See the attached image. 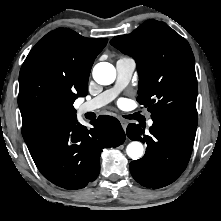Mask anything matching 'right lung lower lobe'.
<instances>
[{
	"mask_svg": "<svg viewBox=\"0 0 221 221\" xmlns=\"http://www.w3.org/2000/svg\"><path fill=\"white\" fill-rule=\"evenodd\" d=\"M90 123L87 129L76 115L53 118L24 137L37 168L53 184L70 190L85 187L99 175L103 148L125 141L116 118L101 115Z\"/></svg>",
	"mask_w": 221,
	"mask_h": 221,
	"instance_id": "right-lung-lower-lobe-1",
	"label": "right lung lower lobe"
}]
</instances>
